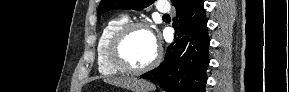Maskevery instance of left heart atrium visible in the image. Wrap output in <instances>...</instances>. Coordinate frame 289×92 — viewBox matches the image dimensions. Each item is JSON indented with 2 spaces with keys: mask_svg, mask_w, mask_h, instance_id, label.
<instances>
[{
  "mask_svg": "<svg viewBox=\"0 0 289 92\" xmlns=\"http://www.w3.org/2000/svg\"><path fill=\"white\" fill-rule=\"evenodd\" d=\"M149 32H150V36H151L153 43L155 44V46H157V39H156L155 34L151 31H149Z\"/></svg>",
  "mask_w": 289,
  "mask_h": 92,
  "instance_id": "left-heart-atrium-1",
  "label": "left heart atrium"
}]
</instances>
